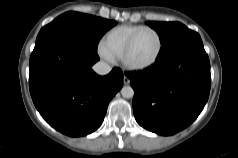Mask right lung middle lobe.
Listing matches in <instances>:
<instances>
[{"label":"right lung middle lobe","mask_w":238,"mask_h":158,"mask_svg":"<svg viewBox=\"0 0 238 158\" xmlns=\"http://www.w3.org/2000/svg\"><path fill=\"white\" fill-rule=\"evenodd\" d=\"M116 25V21L78 12H66L44 26L36 39V44L53 36H66L91 51H97V45L106 31Z\"/></svg>","instance_id":"right-lung-middle-lobe-1"}]
</instances>
